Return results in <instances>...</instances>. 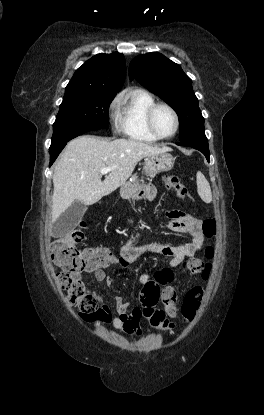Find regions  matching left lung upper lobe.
<instances>
[{
  "label": "left lung upper lobe",
  "instance_id": "obj_1",
  "mask_svg": "<svg viewBox=\"0 0 264 415\" xmlns=\"http://www.w3.org/2000/svg\"><path fill=\"white\" fill-rule=\"evenodd\" d=\"M129 77L167 102L176 111L180 123V141L206 138L204 118L192 89V80L180 65L160 53L134 58Z\"/></svg>",
  "mask_w": 264,
  "mask_h": 415
}]
</instances>
